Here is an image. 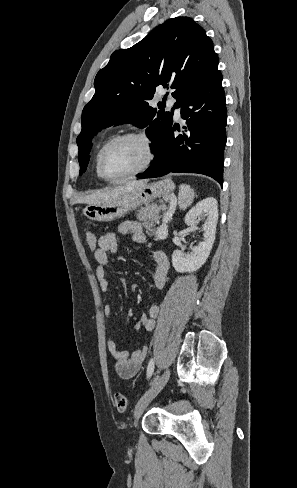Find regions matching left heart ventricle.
Here are the masks:
<instances>
[{
    "instance_id": "obj_1",
    "label": "left heart ventricle",
    "mask_w": 297,
    "mask_h": 488,
    "mask_svg": "<svg viewBox=\"0 0 297 488\" xmlns=\"http://www.w3.org/2000/svg\"><path fill=\"white\" fill-rule=\"evenodd\" d=\"M144 143L138 139L124 140L113 146L105 156L104 168L108 176L116 177L138 168L146 159Z\"/></svg>"
}]
</instances>
